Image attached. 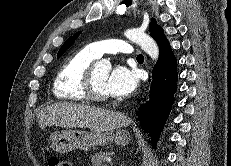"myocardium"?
<instances>
[{
    "mask_svg": "<svg viewBox=\"0 0 231 166\" xmlns=\"http://www.w3.org/2000/svg\"><path fill=\"white\" fill-rule=\"evenodd\" d=\"M95 66L91 64L87 69L84 80H83V89L87 99L94 101H106L109 99V96L101 92L95 82L94 76Z\"/></svg>",
    "mask_w": 231,
    "mask_h": 166,
    "instance_id": "1",
    "label": "myocardium"
}]
</instances>
